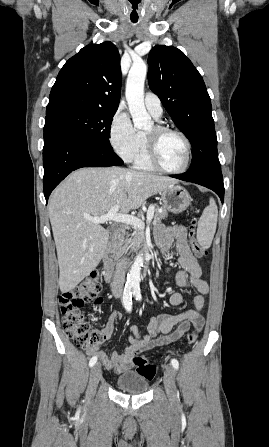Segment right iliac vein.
I'll return each mask as SVG.
<instances>
[{"label": "right iliac vein", "instance_id": "right-iliac-vein-1", "mask_svg": "<svg viewBox=\"0 0 269 447\" xmlns=\"http://www.w3.org/2000/svg\"><path fill=\"white\" fill-rule=\"evenodd\" d=\"M100 376H101V365H100V363H97L92 367L91 372H90L88 390L86 392V399L88 402L93 401V397L95 395V391H96Z\"/></svg>", "mask_w": 269, "mask_h": 447}]
</instances>
